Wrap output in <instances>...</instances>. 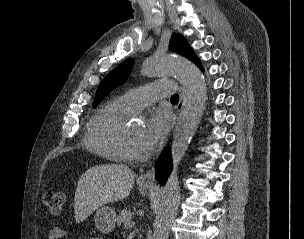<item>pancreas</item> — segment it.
Listing matches in <instances>:
<instances>
[{"mask_svg":"<svg viewBox=\"0 0 304 239\" xmlns=\"http://www.w3.org/2000/svg\"><path fill=\"white\" fill-rule=\"evenodd\" d=\"M133 215L134 212H132L130 209L124 208L117 218V224L128 225L131 222Z\"/></svg>","mask_w":304,"mask_h":239,"instance_id":"pancreas-1","label":"pancreas"}]
</instances>
